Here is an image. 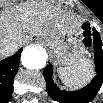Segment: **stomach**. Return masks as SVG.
Masks as SVG:
<instances>
[{"instance_id": "0dacf381", "label": "stomach", "mask_w": 103, "mask_h": 103, "mask_svg": "<svg viewBox=\"0 0 103 103\" xmlns=\"http://www.w3.org/2000/svg\"><path fill=\"white\" fill-rule=\"evenodd\" d=\"M44 44L53 54L56 63L69 66L78 63L86 53L85 28H67L59 33L44 37Z\"/></svg>"}]
</instances>
